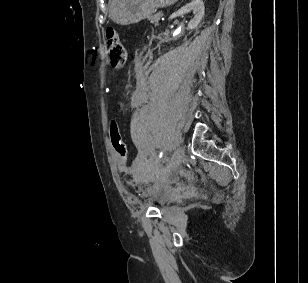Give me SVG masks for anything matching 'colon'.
<instances>
[{
    "label": "colon",
    "mask_w": 308,
    "mask_h": 283,
    "mask_svg": "<svg viewBox=\"0 0 308 283\" xmlns=\"http://www.w3.org/2000/svg\"><path fill=\"white\" fill-rule=\"evenodd\" d=\"M106 39L111 65L117 68L122 67L126 62L127 55L119 33L114 28H108L106 30ZM109 135L114 151L125 162L128 153L127 146L122 137L119 124L115 120L110 122Z\"/></svg>",
    "instance_id": "obj_1"
}]
</instances>
